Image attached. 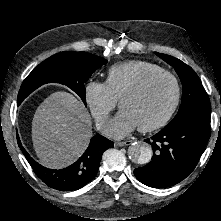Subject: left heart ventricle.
I'll use <instances>...</instances> for the list:
<instances>
[{
    "label": "left heart ventricle",
    "instance_id": "obj_1",
    "mask_svg": "<svg viewBox=\"0 0 221 221\" xmlns=\"http://www.w3.org/2000/svg\"><path fill=\"white\" fill-rule=\"evenodd\" d=\"M174 97V86L167 77L153 80L141 93L128 96L120 102V109L129 112L138 126L160 120L169 110Z\"/></svg>",
    "mask_w": 221,
    "mask_h": 221
}]
</instances>
